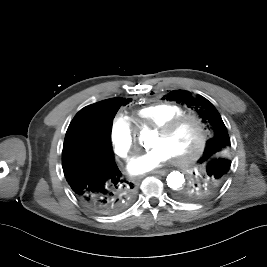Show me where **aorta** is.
Listing matches in <instances>:
<instances>
[{"instance_id":"1","label":"aorta","mask_w":267,"mask_h":267,"mask_svg":"<svg viewBox=\"0 0 267 267\" xmlns=\"http://www.w3.org/2000/svg\"><path fill=\"white\" fill-rule=\"evenodd\" d=\"M152 137L153 133L150 130L144 129L140 133V141H143L145 146L149 145V141ZM166 181L168 187H170L172 190H179L184 185L185 178L184 175L179 171H173L168 174Z\"/></svg>"}]
</instances>
